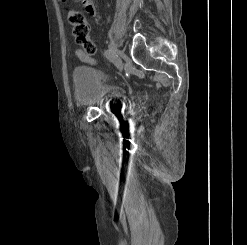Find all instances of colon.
<instances>
[{
	"label": "colon",
	"mask_w": 247,
	"mask_h": 245,
	"mask_svg": "<svg viewBox=\"0 0 247 245\" xmlns=\"http://www.w3.org/2000/svg\"><path fill=\"white\" fill-rule=\"evenodd\" d=\"M62 1L66 2L67 0ZM67 16L69 23L72 25L76 42L83 47L86 53L93 55L96 47L89 36L90 28L84 14L79 10L70 9Z\"/></svg>",
	"instance_id": "5ec220e1"
}]
</instances>
